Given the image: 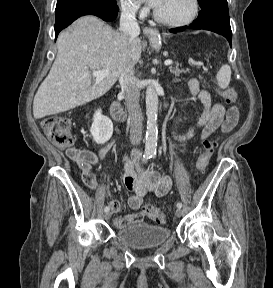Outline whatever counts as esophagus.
Here are the masks:
<instances>
[{
    "label": "esophagus",
    "instance_id": "esophagus-1",
    "mask_svg": "<svg viewBox=\"0 0 273 288\" xmlns=\"http://www.w3.org/2000/svg\"><path fill=\"white\" fill-rule=\"evenodd\" d=\"M143 32H144V34L150 35V36L155 35V34L158 33V31L156 29H153V28H145L143 30Z\"/></svg>",
    "mask_w": 273,
    "mask_h": 288
}]
</instances>
